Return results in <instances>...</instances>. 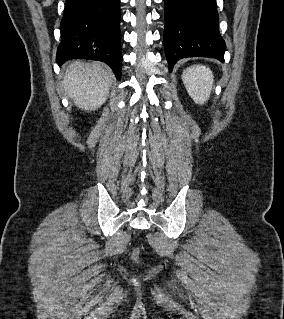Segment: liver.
I'll use <instances>...</instances> for the list:
<instances>
[{
    "mask_svg": "<svg viewBox=\"0 0 284 319\" xmlns=\"http://www.w3.org/2000/svg\"><path fill=\"white\" fill-rule=\"evenodd\" d=\"M113 81V73L101 63L74 60L66 71L64 90L76 106L92 111L106 101Z\"/></svg>",
    "mask_w": 284,
    "mask_h": 319,
    "instance_id": "1",
    "label": "liver"
}]
</instances>
